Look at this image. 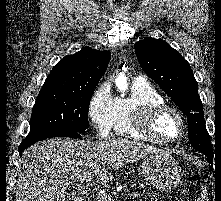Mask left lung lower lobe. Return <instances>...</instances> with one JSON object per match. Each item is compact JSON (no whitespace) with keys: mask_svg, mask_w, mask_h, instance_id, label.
I'll return each instance as SVG.
<instances>
[{"mask_svg":"<svg viewBox=\"0 0 221 201\" xmlns=\"http://www.w3.org/2000/svg\"><path fill=\"white\" fill-rule=\"evenodd\" d=\"M206 156H207L206 160H207L209 163L213 164V155H206Z\"/></svg>","mask_w":221,"mask_h":201,"instance_id":"left-lung-lower-lobe-1","label":"left lung lower lobe"}]
</instances>
